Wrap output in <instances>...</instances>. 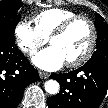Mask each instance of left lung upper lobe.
I'll return each instance as SVG.
<instances>
[{
	"label": "left lung upper lobe",
	"mask_w": 108,
	"mask_h": 108,
	"mask_svg": "<svg viewBox=\"0 0 108 108\" xmlns=\"http://www.w3.org/2000/svg\"><path fill=\"white\" fill-rule=\"evenodd\" d=\"M95 19H96L95 27L98 31L97 44H96V51L93 53L90 60L94 59L108 60V24L107 22H105L104 18L99 14H96ZM73 97L74 96L72 94L71 98Z\"/></svg>",
	"instance_id": "1"
}]
</instances>
